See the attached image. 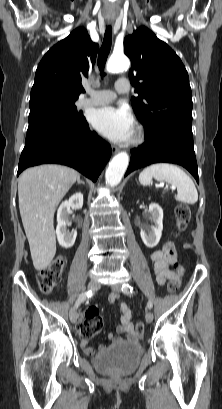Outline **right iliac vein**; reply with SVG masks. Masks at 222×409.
Segmentation results:
<instances>
[{"mask_svg": "<svg viewBox=\"0 0 222 409\" xmlns=\"http://www.w3.org/2000/svg\"><path fill=\"white\" fill-rule=\"evenodd\" d=\"M100 287L99 281L93 279L88 283V290H97ZM69 317L72 323H76L78 314L74 308L70 309Z\"/></svg>", "mask_w": 222, "mask_h": 409, "instance_id": "1", "label": "right iliac vein"}]
</instances>
